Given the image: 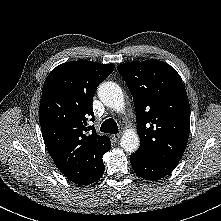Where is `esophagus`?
Instances as JSON below:
<instances>
[{
  "label": "esophagus",
  "mask_w": 221,
  "mask_h": 221,
  "mask_svg": "<svg viewBox=\"0 0 221 221\" xmlns=\"http://www.w3.org/2000/svg\"><path fill=\"white\" fill-rule=\"evenodd\" d=\"M121 137V134H114L112 135V138L115 140V141H118Z\"/></svg>",
  "instance_id": "esophagus-1"
}]
</instances>
